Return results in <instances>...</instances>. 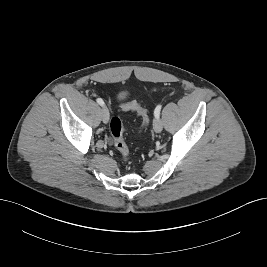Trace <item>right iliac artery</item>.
Wrapping results in <instances>:
<instances>
[{"label":"right iliac artery","instance_id":"1","mask_svg":"<svg viewBox=\"0 0 267 267\" xmlns=\"http://www.w3.org/2000/svg\"><path fill=\"white\" fill-rule=\"evenodd\" d=\"M97 103L101 106H104V101L101 98H97Z\"/></svg>","mask_w":267,"mask_h":267}]
</instances>
